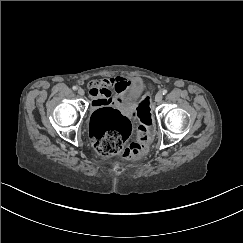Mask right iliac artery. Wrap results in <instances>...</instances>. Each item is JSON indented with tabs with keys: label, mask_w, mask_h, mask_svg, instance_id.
Wrapping results in <instances>:
<instances>
[{
	"label": "right iliac artery",
	"mask_w": 243,
	"mask_h": 243,
	"mask_svg": "<svg viewBox=\"0 0 243 243\" xmlns=\"http://www.w3.org/2000/svg\"><path fill=\"white\" fill-rule=\"evenodd\" d=\"M73 90H77V87L76 86H73Z\"/></svg>",
	"instance_id": "right-iliac-artery-1"
}]
</instances>
